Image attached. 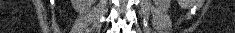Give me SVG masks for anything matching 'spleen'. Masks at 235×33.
<instances>
[{
  "mask_svg": "<svg viewBox=\"0 0 235 33\" xmlns=\"http://www.w3.org/2000/svg\"><path fill=\"white\" fill-rule=\"evenodd\" d=\"M189 4V0H186V5H188Z\"/></svg>",
  "mask_w": 235,
  "mask_h": 33,
  "instance_id": "1",
  "label": "spleen"
}]
</instances>
